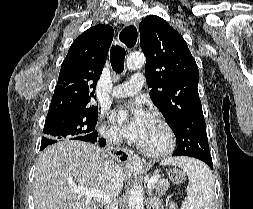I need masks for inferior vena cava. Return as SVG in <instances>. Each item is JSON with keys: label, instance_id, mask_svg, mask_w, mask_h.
I'll return each instance as SVG.
<instances>
[{"label": "inferior vena cava", "instance_id": "602c4592", "mask_svg": "<svg viewBox=\"0 0 253 209\" xmlns=\"http://www.w3.org/2000/svg\"><path fill=\"white\" fill-rule=\"evenodd\" d=\"M106 139L109 144L120 145L122 142L121 136L115 130H111L108 132ZM107 179L110 184V197L116 201V197L118 196L121 190V175L120 168L118 165H115L112 161L109 160L108 165L106 167ZM113 209H118L117 207Z\"/></svg>", "mask_w": 253, "mask_h": 209}]
</instances>
